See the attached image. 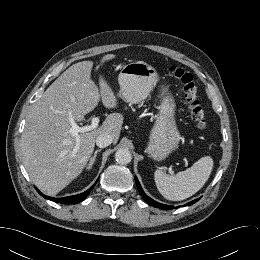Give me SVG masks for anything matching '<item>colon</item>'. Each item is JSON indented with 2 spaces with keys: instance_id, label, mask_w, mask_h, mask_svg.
I'll return each mask as SVG.
<instances>
[{
  "instance_id": "obj_1",
  "label": "colon",
  "mask_w": 260,
  "mask_h": 260,
  "mask_svg": "<svg viewBox=\"0 0 260 260\" xmlns=\"http://www.w3.org/2000/svg\"><path fill=\"white\" fill-rule=\"evenodd\" d=\"M170 74L179 80L183 86V93L186 101L189 103L190 117L199 129L206 126L204 112L197 99V89L193 75L179 67H171Z\"/></svg>"
}]
</instances>
